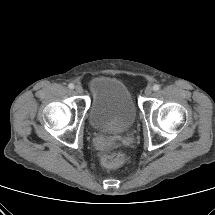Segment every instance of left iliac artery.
Masks as SVG:
<instances>
[{"instance_id":"44dca946","label":"left iliac artery","mask_w":215,"mask_h":215,"mask_svg":"<svg viewBox=\"0 0 215 215\" xmlns=\"http://www.w3.org/2000/svg\"><path fill=\"white\" fill-rule=\"evenodd\" d=\"M160 89V86L158 85V84H155L154 86H153V90L154 91H158Z\"/></svg>"}]
</instances>
